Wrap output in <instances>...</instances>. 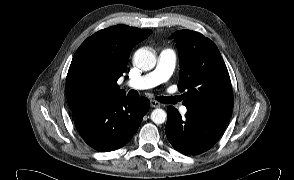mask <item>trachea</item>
<instances>
[{"instance_id":"1","label":"trachea","mask_w":294,"mask_h":180,"mask_svg":"<svg viewBox=\"0 0 294 180\" xmlns=\"http://www.w3.org/2000/svg\"><path fill=\"white\" fill-rule=\"evenodd\" d=\"M128 95L130 97H138L139 96V93L135 90H131ZM159 102H162V103H170V100H171V97H165V96H159L156 98Z\"/></svg>"}]
</instances>
